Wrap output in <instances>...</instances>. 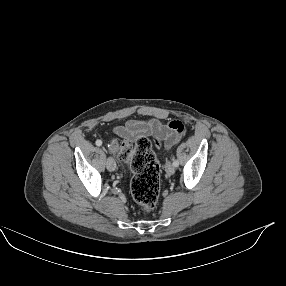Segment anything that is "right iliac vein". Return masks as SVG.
I'll return each mask as SVG.
<instances>
[{
    "mask_svg": "<svg viewBox=\"0 0 286 286\" xmlns=\"http://www.w3.org/2000/svg\"><path fill=\"white\" fill-rule=\"evenodd\" d=\"M107 169L109 171H114L116 169V163L115 160L111 157L108 158L107 160Z\"/></svg>",
    "mask_w": 286,
    "mask_h": 286,
    "instance_id": "obj_1",
    "label": "right iliac vein"
}]
</instances>
